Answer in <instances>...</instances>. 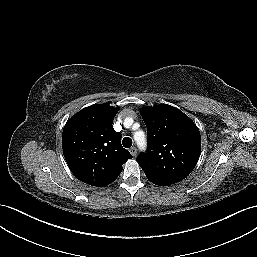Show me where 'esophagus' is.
I'll use <instances>...</instances> for the list:
<instances>
[{"label": "esophagus", "instance_id": "esophagus-1", "mask_svg": "<svg viewBox=\"0 0 257 257\" xmlns=\"http://www.w3.org/2000/svg\"><path fill=\"white\" fill-rule=\"evenodd\" d=\"M129 151H130V153H131L133 156H136V154H137V149H136V147H131Z\"/></svg>", "mask_w": 257, "mask_h": 257}]
</instances>
